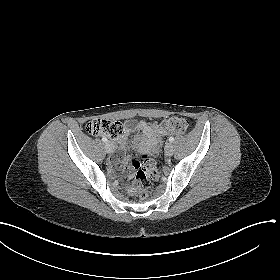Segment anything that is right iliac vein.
I'll return each instance as SVG.
<instances>
[{
    "label": "right iliac vein",
    "mask_w": 280,
    "mask_h": 280,
    "mask_svg": "<svg viewBox=\"0 0 280 280\" xmlns=\"http://www.w3.org/2000/svg\"><path fill=\"white\" fill-rule=\"evenodd\" d=\"M105 149H106L107 153L111 154V153H113L114 146L111 142H107L105 144Z\"/></svg>",
    "instance_id": "1"
}]
</instances>
